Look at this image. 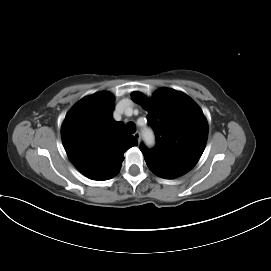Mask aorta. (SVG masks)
<instances>
[{"label": "aorta", "instance_id": "762f6f07", "mask_svg": "<svg viewBox=\"0 0 271 271\" xmlns=\"http://www.w3.org/2000/svg\"><path fill=\"white\" fill-rule=\"evenodd\" d=\"M144 138H145V142L147 144H153L154 142V136H153V133L148 131L144 134Z\"/></svg>", "mask_w": 271, "mask_h": 271}]
</instances>
